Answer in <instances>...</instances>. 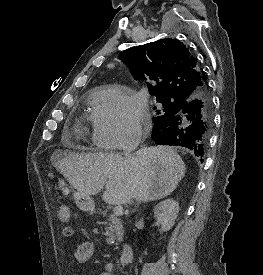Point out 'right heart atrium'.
Listing matches in <instances>:
<instances>
[{"label":"right heart atrium","instance_id":"d8ad5b80","mask_svg":"<svg viewBox=\"0 0 263 275\" xmlns=\"http://www.w3.org/2000/svg\"><path fill=\"white\" fill-rule=\"evenodd\" d=\"M93 104V140L99 147L126 148L139 140L146 115L135 92L107 87L97 92Z\"/></svg>","mask_w":263,"mask_h":275}]
</instances>
